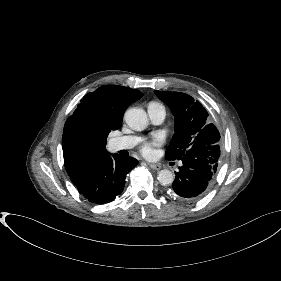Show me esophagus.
Returning <instances> with one entry per match:
<instances>
[{
	"label": "esophagus",
	"mask_w": 281,
	"mask_h": 281,
	"mask_svg": "<svg viewBox=\"0 0 281 281\" xmlns=\"http://www.w3.org/2000/svg\"><path fill=\"white\" fill-rule=\"evenodd\" d=\"M147 165H148L150 168L155 169V170L161 169V166H160L159 164L147 163Z\"/></svg>",
	"instance_id": "34e87169"
}]
</instances>
